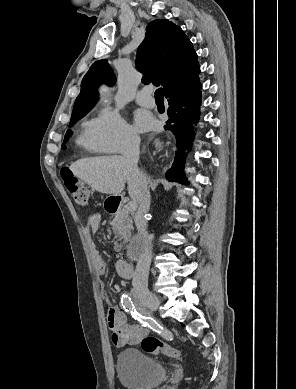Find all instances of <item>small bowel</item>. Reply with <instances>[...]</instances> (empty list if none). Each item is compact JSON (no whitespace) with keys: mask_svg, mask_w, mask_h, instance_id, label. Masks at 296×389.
I'll return each mask as SVG.
<instances>
[{"mask_svg":"<svg viewBox=\"0 0 296 389\" xmlns=\"http://www.w3.org/2000/svg\"><path fill=\"white\" fill-rule=\"evenodd\" d=\"M100 224V213L95 212L91 214L87 220V234L90 246L95 253L98 270L101 275H105L106 271L104 264L100 256L96 253L95 245L92 240V236L98 231ZM107 322L112 333V342L118 347L138 344L148 333V329L145 325L128 323L125 314L117 306H111L109 308Z\"/></svg>","mask_w":296,"mask_h":389,"instance_id":"1","label":"small bowel"}]
</instances>
